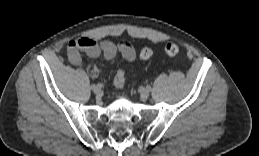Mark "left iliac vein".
Wrapping results in <instances>:
<instances>
[{"instance_id":"1","label":"left iliac vein","mask_w":259,"mask_h":156,"mask_svg":"<svg viewBox=\"0 0 259 156\" xmlns=\"http://www.w3.org/2000/svg\"><path fill=\"white\" fill-rule=\"evenodd\" d=\"M150 95V90L147 89V88H144L142 91H141V98L146 100Z\"/></svg>"}]
</instances>
